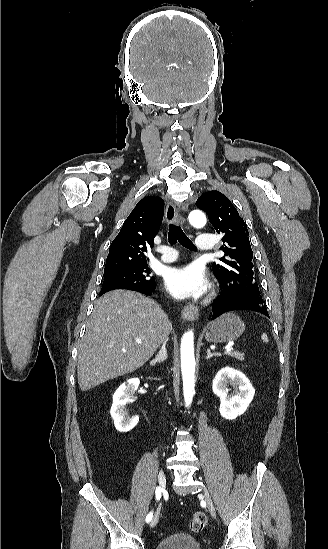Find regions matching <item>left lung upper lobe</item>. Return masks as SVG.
<instances>
[{
  "mask_svg": "<svg viewBox=\"0 0 328 549\" xmlns=\"http://www.w3.org/2000/svg\"><path fill=\"white\" fill-rule=\"evenodd\" d=\"M196 206L208 214L209 222L221 234L225 255L220 264L213 263V272L223 292L239 293L263 301L254 275L253 251L244 220L231 201L218 191L202 194Z\"/></svg>",
  "mask_w": 328,
  "mask_h": 549,
  "instance_id": "left-lung-upper-lobe-1",
  "label": "left lung upper lobe"
}]
</instances>
